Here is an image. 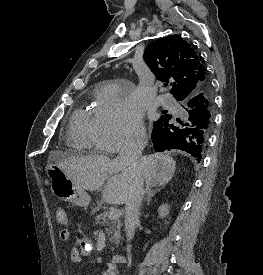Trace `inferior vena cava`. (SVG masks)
<instances>
[{
  "label": "inferior vena cava",
  "instance_id": "1",
  "mask_svg": "<svg viewBox=\"0 0 263 275\" xmlns=\"http://www.w3.org/2000/svg\"><path fill=\"white\" fill-rule=\"evenodd\" d=\"M145 146L146 138L128 142L123 145L117 157L118 164L122 168V174L129 183L125 202V232L128 242L133 239L136 226L139 224L140 206L144 194L140 157Z\"/></svg>",
  "mask_w": 263,
  "mask_h": 275
}]
</instances>
